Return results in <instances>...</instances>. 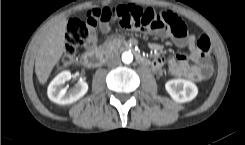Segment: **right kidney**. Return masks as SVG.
I'll return each instance as SVG.
<instances>
[{"label":"right kidney","mask_w":245,"mask_h":145,"mask_svg":"<svg viewBox=\"0 0 245 145\" xmlns=\"http://www.w3.org/2000/svg\"><path fill=\"white\" fill-rule=\"evenodd\" d=\"M70 71L59 73L49 84L47 95L49 99L60 105H67L76 102L83 97L88 91V84L85 81L78 82L75 87L68 89V86L63 87L66 81L71 79Z\"/></svg>","instance_id":"ca27d5eb"}]
</instances>
